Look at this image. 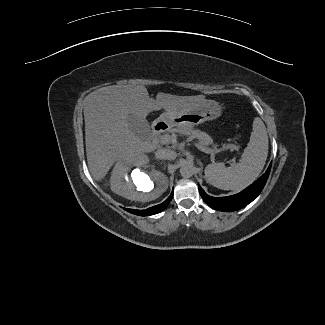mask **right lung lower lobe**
<instances>
[{"instance_id":"98d812e1","label":"right lung lower lobe","mask_w":325,"mask_h":325,"mask_svg":"<svg viewBox=\"0 0 325 325\" xmlns=\"http://www.w3.org/2000/svg\"><path fill=\"white\" fill-rule=\"evenodd\" d=\"M172 197H173V191H172L171 195L163 203H161L159 205L150 207L145 210H135V209H128V208H124V209L132 214H135V215L149 216V215L157 214V213L161 212L162 210H164L170 203Z\"/></svg>"}]
</instances>
